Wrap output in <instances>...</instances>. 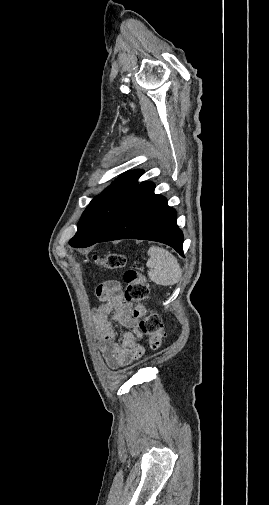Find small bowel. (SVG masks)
<instances>
[{
  "label": "small bowel",
  "instance_id": "obj_1",
  "mask_svg": "<svg viewBox=\"0 0 269 505\" xmlns=\"http://www.w3.org/2000/svg\"><path fill=\"white\" fill-rule=\"evenodd\" d=\"M96 295L101 304L94 310L93 320L101 352L110 368L124 367L144 354L143 346L137 343L143 334L131 314L130 303L124 298L119 282L103 283L97 287ZM112 321L128 329L119 342Z\"/></svg>",
  "mask_w": 269,
  "mask_h": 505
}]
</instances>
